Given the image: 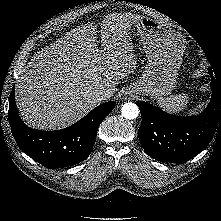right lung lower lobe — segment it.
Returning a JSON list of instances; mask_svg holds the SVG:
<instances>
[{"label": "right lung lower lobe", "mask_w": 221, "mask_h": 221, "mask_svg": "<svg viewBox=\"0 0 221 221\" xmlns=\"http://www.w3.org/2000/svg\"><path fill=\"white\" fill-rule=\"evenodd\" d=\"M114 107V102H106L67 128L40 131L28 127L21 120L13 87L8 117L11 131L20 149L43 166L54 169L78 164L90 155L98 127Z\"/></svg>", "instance_id": "98d812e1"}]
</instances>
